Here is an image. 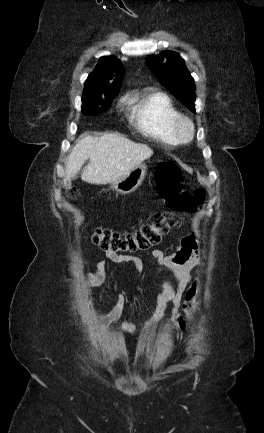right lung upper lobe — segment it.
I'll use <instances>...</instances> for the list:
<instances>
[{"label":"right lung upper lobe","instance_id":"1","mask_svg":"<svg viewBox=\"0 0 264 433\" xmlns=\"http://www.w3.org/2000/svg\"><path fill=\"white\" fill-rule=\"evenodd\" d=\"M123 76V65L116 57H102L87 78L82 99H106L116 96L121 87Z\"/></svg>","mask_w":264,"mask_h":433}]
</instances>
